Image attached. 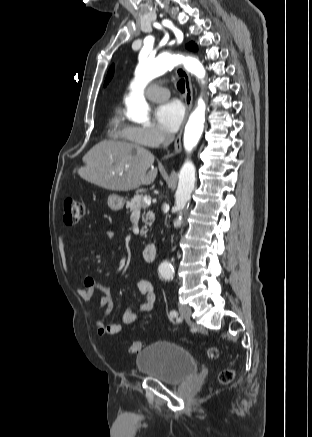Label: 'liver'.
Masks as SVG:
<instances>
[{
    "mask_svg": "<svg viewBox=\"0 0 312 437\" xmlns=\"http://www.w3.org/2000/svg\"><path fill=\"white\" fill-rule=\"evenodd\" d=\"M154 155L132 143L104 140L83 157L85 166L78 169L84 180L108 190L129 191L150 185L157 177Z\"/></svg>",
    "mask_w": 312,
    "mask_h": 437,
    "instance_id": "1",
    "label": "liver"
}]
</instances>
